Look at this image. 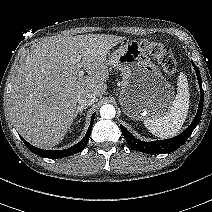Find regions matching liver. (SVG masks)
<instances>
[{
    "label": "liver",
    "mask_w": 212,
    "mask_h": 212,
    "mask_svg": "<svg viewBox=\"0 0 212 212\" xmlns=\"http://www.w3.org/2000/svg\"><path fill=\"white\" fill-rule=\"evenodd\" d=\"M124 39L106 34L52 36L36 45L18 69L11 93L18 132L36 147L59 144L73 123L78 94L105 93L107 54ZM82 68L87 76L79 75Z\"/></svg>",
    "instance_id": "1"
}]
</instances>
